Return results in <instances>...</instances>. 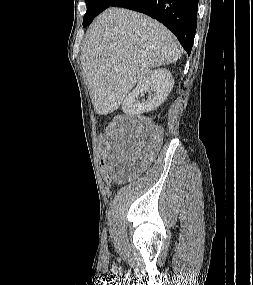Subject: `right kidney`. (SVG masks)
I'll return each instance as SVG.
<instances>
[{"label": "right kidney", "instance_id": "ca27d5eb", "mask_svg": "<svg viewBox=\"0 0 253 285\" xmlns=\"http://www.w3.org/2000/svg\"><path fill=\"white\" fill-rule=\"evenodd\" d=\"M174 86V79L169 70L158 68L149 71L138 82L136 88L126 96L122 103L123 111L129 115H140L153 111L168 97ZM149 93V98L142 103L135 100L139 95Z\"/></svg>", "mask_w": 253, "mask_h": 285}]
</instances>
